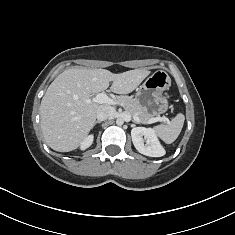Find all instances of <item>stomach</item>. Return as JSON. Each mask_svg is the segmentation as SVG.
<instances>
[{"mask_svg": "<svg viewBox=\"0 0 235 235\" xmlns=\"http://www.w3.org/2000/svg\"><path fill=\"white\" fill-rule=\"evenodd\" d=\"M171 86L167 72L158 70L136 89L135 99L152 116L163 114L168 109V97L164 93Z\"/></svg>", "mask_w": 235, "mask_h": 235, "instance_id": "1", "label": "stomach"}]
</instances>
